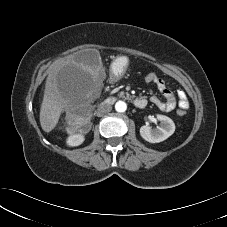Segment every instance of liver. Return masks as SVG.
<instances>
[{"mask_svg":"<svg viewBox=\"0 0 227 227\" xmlns=\"http://www.w3.org/2000/svg\"><path fill=\"white\" fill-rule=\"evenodd\" d=\"M94 77L95 71L79 65L74 56L54 63L46 79L40 109V125L45 132L56 127L61 113L81 95L82 83Z\"/></svg>","mask_w":227,"mask_h":227,"instance_id":"1","label":"liver"}]
</instances>
